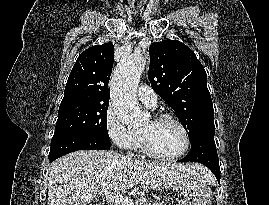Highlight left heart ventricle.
Masks as SVG:
<instances>
[{"instance_id":"1","label":"left heart ventricle","mask_w":269,"mask_h":205,"mask_svg":"<svg viewBox=\"0 0 269 205\" xmlns=\"http://www.w3.org/2000/svg\"><path fill=\"white\" fill-rule=\"evenodd\" d=\"M150 146L160 154L173 155L184 147V136L179 127L171 121L150 120L142 129Z\"/></svg>"}]
</instances>
